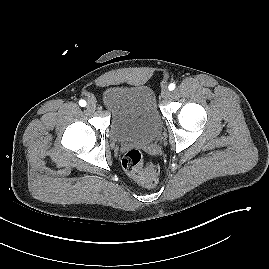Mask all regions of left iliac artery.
<instances>
[{
	"label": "left iliac artery",
	"instance_id": "obj_1",
	"mask_svg": "<svg viewBox=\"0 0 269 269\" xmlns=\"http://www.w3.org/2000/svg\"><path fill=\"white\" fill-rule=\"evenodd\" d=\"M176 85L174 83L169 84L168 88L170 91L174 90Z\"/></svg>",
	"mask_w": 269,
	"mask_h": 269
}]
</instances>
